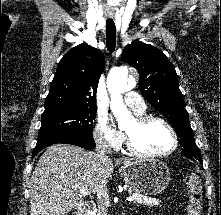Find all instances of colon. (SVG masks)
Returning <instances> with one entry per match:
<instances>
[{
    "label": "colon",
    "instance_id": "obj_1",
    "mask_svg": "<svg viewBox=\"0 0 221 215\" xmlns=\"http://www.w3.org/2000/svg\"><path fill=\"white\" fill-rule=\"evenodd\" d=\"M188 203L185 215H200L202 212V185L199 174L191 172L186 177Z\"/></svg>",
    "mask_w": 221,
    "mask_h": 215
}]
</instances>
